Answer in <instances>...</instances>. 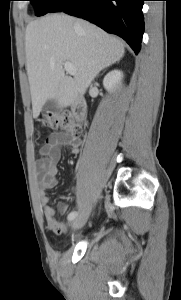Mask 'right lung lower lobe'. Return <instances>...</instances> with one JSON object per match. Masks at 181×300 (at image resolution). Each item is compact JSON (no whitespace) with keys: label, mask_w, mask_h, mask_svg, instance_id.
Here are the masks:
<instances>
[{"label":"right lung lower lobe","mask_w":181,"mask_h":300,"mask_svg":"<svg viewBox=\"0 0 181 300\" xmlns=\"http://www.w3.org/2000/svg\"><path fill=\"white\" fill-rule=\"evenodd\" d=\"M145 0H63L54 12H65L88 20L105 31L122 37L135 54L144 32Z\"/></svg>","instance_id":"98d812e1"}]
</instances>
